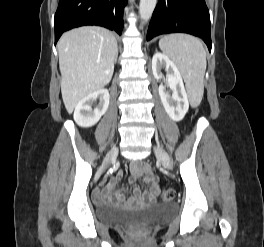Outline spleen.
Returning <instances> with one entry per match:
<instances>
[{"label":"spleen","instance_id":"spleen-1","mask_svg":"<svg viewBox=\"0 0 264 247\" xmlns=\"http://www.w3.org/2000/svg\"><path fill=\"white\" fill-rule=\"evenodd\" d=\"M160 49L181 72L194 105H199L204 92L206 52L202 42L190 35L172 34L159 41Z\"/></svg>","mask_w":264,"mask_h":247}]
</instances>
